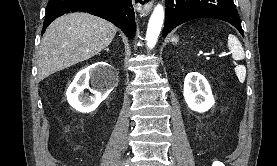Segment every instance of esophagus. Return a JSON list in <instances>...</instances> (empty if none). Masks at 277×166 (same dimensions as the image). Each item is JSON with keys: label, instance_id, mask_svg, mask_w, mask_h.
Wrapping results in <instances>:
<instances>
[{"label": "esophagus", "instance_id": "34e87169", "mask_svg": "<svg viewBox=\"0 0 277 166\" xmlns=\"http://www.w3.org/2000/svg\"><path fill=\"white\" fill-rule=\"evenodd\" d=\"M132 3L140 15L145 16L151 10L154 0H132Z\"/></svg>", "mask_w": 277, "mask_h": 166}]
</instances>
